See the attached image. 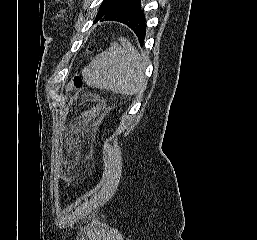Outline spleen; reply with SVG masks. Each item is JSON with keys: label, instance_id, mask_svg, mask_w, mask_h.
Returning <instances> with one entry per match:
<instances>
[{"label": "spleen", "instance_id": "obj_1", "mask_svg": "<svg viewBox=\"0 0 257 240\" xmlns=\"http://www.w3.org/2000/svg\"><path fill=\"white\" fill-rule=\"evenodd\" d=\"M99 54L84 71L90 86L117 94L133 95L145 90V64L136 48L124 37Z\"/></svg>", "mask_w": 257, "mask_h": 240}]
</instances>
